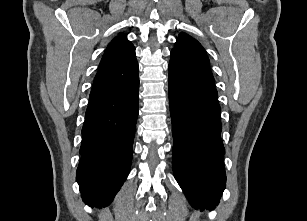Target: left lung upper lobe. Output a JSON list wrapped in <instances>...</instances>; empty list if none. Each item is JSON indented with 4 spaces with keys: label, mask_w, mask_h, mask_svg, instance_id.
I'll list each match as a JSON object with an SVG mask.
<instances>
[{
    "label": "left lung upper lobe",
    "mask_w": 307,
    "mask_h": 221,
    "mask_svg": "<svg viewBox=\"0 0 307 221\" xmlns=\"http://www.w3.org/2000/svg\"><path fill=\"white\" fill-rule=\"evenodd\" d=\"M171 52L179 55L200 72L214 80L204 48L188 34H179L175 47Z\"/></svg>",
    "instance_id": "obj_1"
}]
</instances>
